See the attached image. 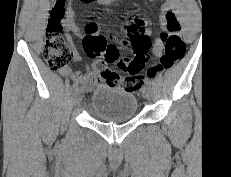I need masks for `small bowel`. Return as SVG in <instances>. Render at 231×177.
Wrapping results in <instances>:
<instances>
[{
  "label": "small bowel",
  "instance_id": "c3829d8e",
  "mask_svg": "<svg viewBox=\"0 0 231 177\" xmlns=\"http://www.w3.org/2000/svg\"><path fill=\"white\" fill-rule=\"evenodd\" d=\"M72 1L73 0H57L55 7H58L61 10L62 13V19H61V26L67 28L68 30L78 34L82 35L80 29L78 28L75 19H74V13L72 10ZM112 0L108 1H101L102 4H108ZM54 7V8H55ZM163 13L160 17V21L162 24H165L166 22V11L167 7L164 6L162 9ZM131 22L138 25L140 28H142L146 35L149 36L150 30L148 28V21L144 18L137 17L133 14L130 16ZM69 41H71V38L68 36ZM164 49V43L161 38H158L155 40L153 45V53L156 56H160ZM74 58L77 61L81 60L80 55L77 52H74ZM103 68L101 66L100 61L96 62L91 71L87 73L86 75H80L78 73H72L69 70H63L62 73L64 75H70L73 79L76 80L77 83L81 84V86L85 89H92L93 87L100 85V84H106V85H114L111 84L109 79L105 77L103 74Z\"/></svg>",
  "mask_w": 231,
  "mask_h": 177
}]
</instances>
